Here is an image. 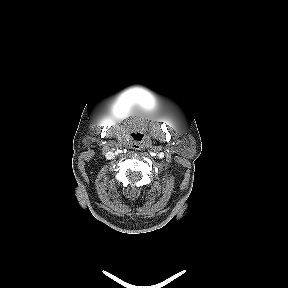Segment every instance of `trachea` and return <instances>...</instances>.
Returning a JSON list of instances; mask_svg holds the SVG:
<instances>
[{
    "label": "trachea",
    "instance_id": "obj_1",
    "mask_svg": "<svg viewBox=\"0 0 288 288\" xmlns=\"http://www.w3.org/2000/svg\"><path fill=\"white\" fill-rule=\"evenodd\" d=\"M134 147H136V148H137L138 146H137V145H134Z\"/></svg>",
    "mask_w": 288,
    "mask_h": 288
}]
</instances>
